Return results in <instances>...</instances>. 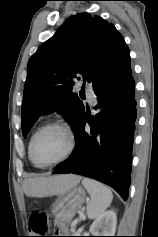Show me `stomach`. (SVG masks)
Returning <instances> with one entry per match:
<instances>
[{"label":"stomach","instance_id":"stomach-1","mask_svg":"<svg viewBox=\"0 0 158 237\" xmlns=\"http://www.w3.org/2000/svg\"><path fill=\"white\" fill-rule=\"evenodd\" d=\"M85 198V190L78 184L58 195V198L52 204L51 211L64 229L66 224L74 217L76 211L82 206Z\"/></svg>","mask_w":158,"mask_h":237}]
</instances>
